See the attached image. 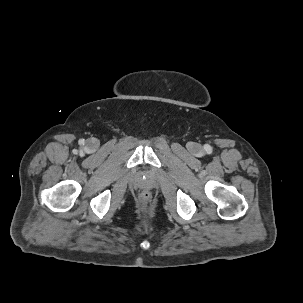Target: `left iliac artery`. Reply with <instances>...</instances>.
I'll return each instance as SVG.
<instances>
[{"label":"left iliac artery","mask_w":303,"mask_h":303,"mask_svg":"<svg viewBox=\"0 0 303 303\" xmlns=\"http://www.w3.org/2000/svg\"><path fill=\"white\" fill-rule=\"evenodd\" d=\"M205 150L207 151V153H210L211 152V147L210 146H206Z\"/></svg>","instance_id":"obj_1"}]
</instances>
